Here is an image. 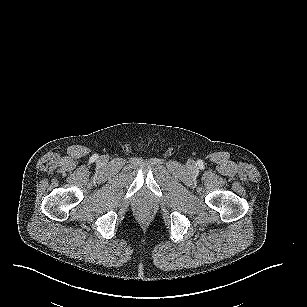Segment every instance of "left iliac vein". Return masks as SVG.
Segmentation results:
<instances>
[{"mask_svg": "<svg viewBox=\"0 0 307 307\" xmlns=\"http://www.w3.org/2000/svg\"><path fill=\"white\" fill-rule=\"evenodd\" d=\"M193 165L190 164V167L192 168Z\"/></svg>", "mask_w": 307, "mask_h": 307, "instance_id": "left-iliac-vein-1", "label": "left iliac vein"}]
</instances>
